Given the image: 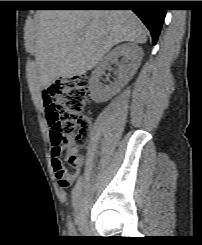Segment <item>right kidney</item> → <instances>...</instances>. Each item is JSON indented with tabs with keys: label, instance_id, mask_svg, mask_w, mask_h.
<instances>
[{
	"label": "right kidney",
	"instance_id": "1",
	"mask_svg": "<svg viewBox=\"0 0 202 245\" xmlns=\"http://www.w3.org/2000/svg\"><path fill=\"white\" fill-rule=\"evenodd\" d=\"M120 56H123L125 61L118 66L115 82L110 87L102 85L101 76L106 68L115 63ZM142 57V49L134 43L121 44L108 52L92 72L89 81L91 98L95 102H106L116 95L134 76L141 64Z\"/></svg>",
	"mask_w": 202,
	"mask_h": 245
}]
</instances>
